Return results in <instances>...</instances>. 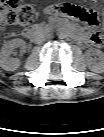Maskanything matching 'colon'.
<instances>
[{
  "label": "colon",
  "mask_w": 104,
  "mask_h": 137,
  "mask_svg": "<svg viewBox=\"0 0 104 137\" xmlns=\"http://www.w3.org/2000/svg\"><path fill=\"white\" fill-rule=\"evenodd\" d=\"M100 0H87L88 7L64 6L63 11L67 14L74 15L91 25L99 24V12L96 5ZM1 11L5 23L8 26L23 27L29 25L34 18L35 9L32 4L24 0H2ZM102 33L95 31L92 34V41L95 44L102 42Z\"/></svg>",
  "instance_id": "5ec220e1"
}]
</instances>
